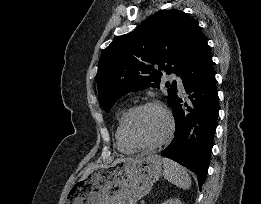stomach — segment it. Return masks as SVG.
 Instances as JSON below:
<instances>
[{"instance_id":"1","label":"stomach","mask_w":261,"mask_h":204,"mask_svg":"<svg viewBox=\"0 0 261 204\" xmlns=\"http://www.w3.org/2000/svg\"><path fill=\"white\" fill-rule=\"evenodd\" d=\"M162 164L148 154L99 166L73 185L65 204H136L161 176Z\"/></svg>"}]
</instances>
